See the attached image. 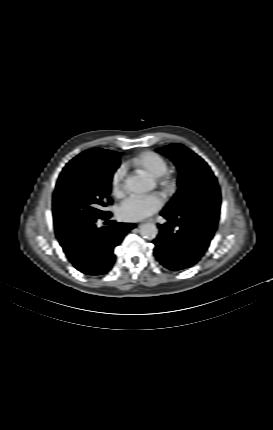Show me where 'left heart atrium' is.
<instances>
[{
  "mask_svg": "<svg viewBox=\"0 0 273 430\" xmlns=\"http://www.w3.org/2000/svg\"><path fill=\"white\" fill-rule=\"evenodd\" d=\"M162 206L163 198L159 194L131 196L118 208V217L124 221H139L151 216Z\"/></svg>",
  "mask_w": 273,
  "mask_h": 430,
  "instance_id": "39dd6f15",
  "label": "left heart atrium"
}]
</instances>
